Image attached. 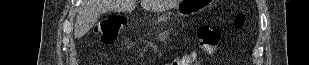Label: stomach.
<instances>
[{
    "label": "stomach",
    "instance_id": "stomach-1",
    "mask_svg": "<svg viewBox=\"0 0 309 65\" xmlns=\"http://www.w3.org/2000/svg\"><path fill=\"white\" fill-rule=\"evenodd\" d=\"M209 0H184L177 7L179 15L195 14L203 11L210 5Z\"/></svg>",
    "mask_w": 309,
    "mask_h": 65
}]
</instances>
